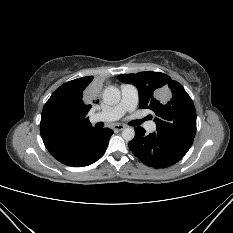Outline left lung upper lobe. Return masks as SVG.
Segmentation results:
<instances>
[{"mask_svg": "<svg viewBox=\"0 0 233 233\" xmlns=\"http://www.w3.org/2000/svg\"><path fill=\"white\" fill-rule=\"evenodd\" d=\"M118 78L138 88L140 106L154 111L157 115L154 120L157 132L194 139L195 107L190 96L178 82L160 72L122 74Z\"/></svg>", "mask_w": 233, "mask_h": 233, "instance_id": "1", "label": "left lung upper lobe"}]
</instances>
